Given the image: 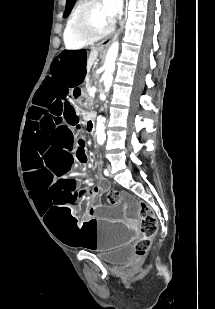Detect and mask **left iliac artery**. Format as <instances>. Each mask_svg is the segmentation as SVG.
<instances>
[{
    "instance_id": "obj_1",
    "label": "left iliac artery",
    "mask_w": 215,
    "mask_h": 309,
    "mask_svg": "<svg viewBox=\"0 0 215 309\" xmlns=\"http://www.w3.org/2000/svg\"><path fill=\"white\" fill-rule=\"evenodd\" d=\"M104 174H105L106 176H108V175H109V172H108V170H107V169H105V170H104Z\"/></svg>"
}]
</instances>
